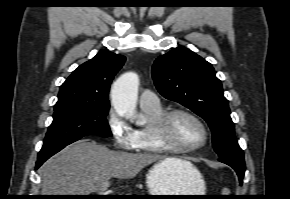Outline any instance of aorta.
Here are the masks:
<instances>
[{
  "label": "aorta",
  "instance_id": "obj_1",
  "mask_svg": "<svg viewBox=\"0 0 290 199\" xmlns=\"http://www.w3.org/2000/svg\"><path fill=\"white\" fill-rule=\"evenodd\" d=\"M139 77L134 72H127L121 75L113 84L111 90V101L116 112L143 125L146 120L136 112L137 93Z\"/></svg>",
  "mask_w": 290,
  "mask_h": 199
}]
</instances>
